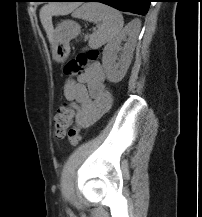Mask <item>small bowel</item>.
Instances as JSON below:
<instances>
[{
    "mask_svg": "<svg viewBox=\"0 0 202 217\" xmlns=\"http://www.w3.org/2000/svg\"><path fill=\"white\" fill-rule=\"evenodd\" d=\"M63 93L76 110L77 124L83 128L94 124L111 103L104 70L99 63L90 65L77 79L67 80Z\"/></svg>",
    "mask_w": 202,
    "mask_h": 217,
    "instance_id": "small-bowel-1",
    "label": "small bowel"
}]
</instances>
